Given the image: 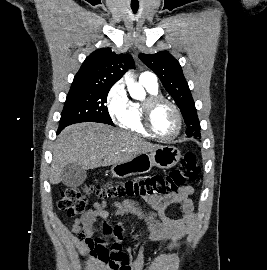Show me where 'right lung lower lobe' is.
<instances>
[{"instance_id": "right-lung-lower-lobe-1", "label": "right lung lower lobe", "mask_w": 267, "mask_h": 270, "mask_svg": "<svg viewBox=\"0 0 267 270\" xmlns=\"http://www.w3.org/2000/svg\"><path fill=\"white\" fill-rule=\"evenodd\" d=\"M60 131H61V130L58 129L57 134H58Z\"/></svg>"}]
</instances>
